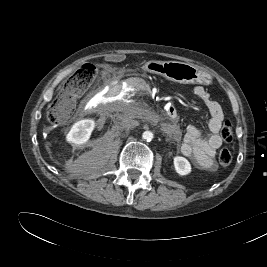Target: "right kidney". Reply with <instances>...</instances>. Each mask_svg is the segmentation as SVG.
Segmentation results:
<instances>
[{
	"instance_id": "1",
	"label": "right kidney",
	"mask_w": 267,
	"mask_h": 267,
	"mask_svg": "<svg viewBox=\"0 0 267 267\" xmlns=\"http://www.w3.org/2000/svg\"><path fill=\"white\" fill-rule=\"evenodd\" d=\"M95 127V121L92 119H84L76 122L72 128L70 129L69 133L66 136V140L72 144H84L86 143L92 131Z\"/></svg>"
}]
</instances>
